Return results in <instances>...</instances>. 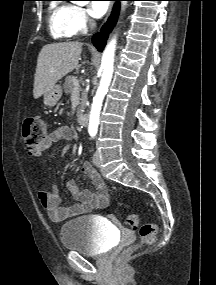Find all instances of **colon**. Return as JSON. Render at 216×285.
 Instances as JSON below:
<instances>
[{
    "mask_svg": "<svg viewBox=\"0 0 216 285\" xmlns=\"http://www.w3.org/2000/svg\"><path fill=\"white\" fill-rule=\"evenodd\" d=\"M48 135L47 123L40 117H29L24 120L22 136L29 154L38 156L42 152L43 145ZM139 224V216L135 213L129 214L126 218V225L136 228ZM158 227L155 223H146L139 229L140 240L137 244L128 247L124 254L127 255L135 248L142 245H149L155 241Z\"/></svg>",
    "mask_w": 216,
    "mask_h": 285,
    "instance_id": "1",
    "label": "colon"
}]
</instances>
